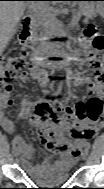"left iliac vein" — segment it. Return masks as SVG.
<instances>
[{
	"instance_id": "1",
	"label": "left iliac vein",
	"mask_w": 104,
	"mask_h": 189,
	"mask_svg": "<svg viewBox=\"0 0 104 189\" xmlns=\"http://www.w3.org/2000/svg\"><path fill=\"white\" fill-rule=\"evenodd\" d=\"M82 159L83 160H86L87 159V157H88V151L87 150H84L83 152H82Z\"/></svg>"
}]
</instances>
